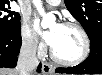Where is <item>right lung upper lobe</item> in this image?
Returning a JSON list of instances; mask_svg holds the SVG:
<instances>
[{"label": "right lung upper lobe", "mask_w": 102, "mask_h": 75, "mask_svg": "<svg viewBox=\"0 0 102 75\" xmlns=\"http://www.w3.org/2000/svg\"><path fill=\"white\" fill-rule=\"evenodd\" d=\"M0 2H9L10 3L9 0H0Z\"/></svg>", "instance_id": "cb5924a9"}]
</instances>
